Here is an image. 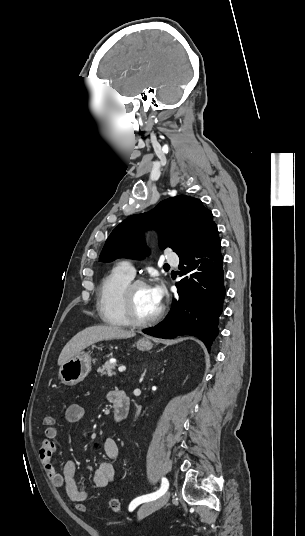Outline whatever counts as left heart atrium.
<instances>
[{
	"label": "left heart atrium",
	"mask_w": 305,
	"mask_h": 536,
	"mask_svg": "<svg viewBox=\"0 0 305 536\" xmlns=\"http://www.w3.org/2000/svg\"><path fill=\"white\" fill-rule=\"evenodd\" d=\"M150 287H151V297H152L153 303L156 305H160L161 300H162V290L160 286L154 285Z\"/></svg>",
	"instance_id": "obj_1"
}]
</instances>
